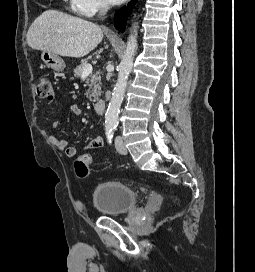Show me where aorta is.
<instances>
[{
	"mask_svg": "<svg viewBox=\"0 0 255 272\" xmlns=\"http://www.w3.org/2000/svg\"><path fill=\"white\" fill-rule=\"evenodd\" d=\"M137 27L128 37L122 60L118 67V78L113 89L112 97L105 113L106 129H114L118 125L119 111L124 99L128 77L133 68V58L137 49Z\"/></svg>",
	"mask_w": 255,
	"mask_h": 272,
	"instance_id": "762f6f07",
	"label": "aorta"
}]
</instances>
